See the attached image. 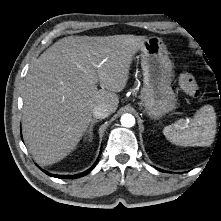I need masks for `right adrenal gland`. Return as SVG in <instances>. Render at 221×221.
<instances>
[{"mask_svg": "<svg viewBox=\"0 0 221 221\" xmlns=\"http://www.w3.org/2000/svg\"><path fill=\"white\" fill-rule=\"evenodd\" d=\"M97 122H99V120L93 119V120L91 121V124H90V126H89V129L86 131V135H88V137H89L88 140H89L90 142H91L92 139H93V127H94V125H95Z\"/></svg>", "mask_w": 221, "mask_h": 221, "instance_id": "right-adrenal-gland-1", "label": "right adrenal gland"}]
</instances>
